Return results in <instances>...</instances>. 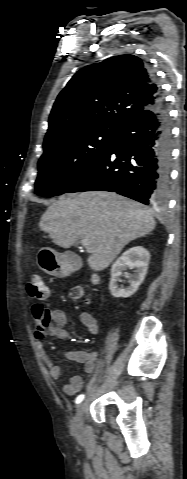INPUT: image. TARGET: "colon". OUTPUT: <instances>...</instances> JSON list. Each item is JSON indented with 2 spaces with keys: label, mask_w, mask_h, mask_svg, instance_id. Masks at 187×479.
Here are the masks:
<instances>
[{
  "label": "colon",
  "mask_w": 187,
  "mask_h": 479,
  "mask_svg": "<svg viewBox=\"0 0 187 479\" xmlns=\"http://www.w3.org/2000/svg\"><path fill=\"white\" fill-rule=\"evenodd\" d=\"M28 295L33 299H45L48 295V289L44 283L43 276L39 273L32 274L26 285ZM70 297L73 300L88 302V299L79 286L70 291ZM33 316L36 322V333L39 338H46L52 334V314L49 309L41 304L32 306Z\"/></svg>",
  "instance_id": "colon-1"
}]
</instances>
